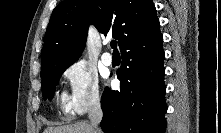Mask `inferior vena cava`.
I'll return each instance as SVG.
<instances>
[{"label": "inferior vena cava", "mask_w": 221, "mask_h": 133, "mask_svg": "<svg viewBox=\"0 0 221 133\" xmlns=\"http://www.w3.org/2000/svg\"><path fill=\"white\" fill-rule=\"evenodd\" d=\"M90 125L92 127L93 133H99L98 124L102 120L103 112L100 106V101H96L89 110L88 114Z\"/></svg>", "instance_id": "obj_1"}]
</instances>
